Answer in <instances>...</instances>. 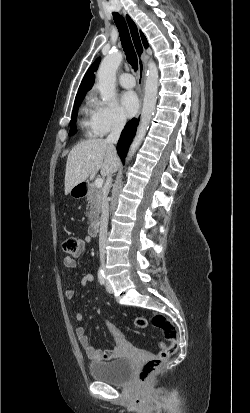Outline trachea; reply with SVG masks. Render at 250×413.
<instances>
[{"instance_id": "trachea-1", "label": "trachea", "mask_w": 250, "mask_h": 413, "mask_svg": "<svg viewBox=\"0 0 250 413\" xmlns=\"http://www.w3.org/2000/svg\"><path fill=\"white\" fill-rule=\"evenodd\" d=\"M114 22L118 28L123 50L128 63L134 70L138 69V60L135 53L125 19L119 13H113Z\"/></svg>"}]
</instances>
